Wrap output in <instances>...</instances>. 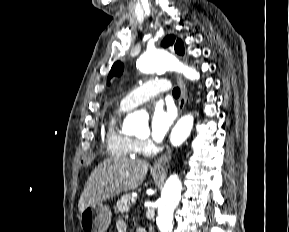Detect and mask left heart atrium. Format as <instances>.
Returning <instances> with one entry per match:
<instances>
[{"label":"left heart atrium","instance_id":"left-heart-atrium-1","mask_svg":"<svg viewBox=\"0 0 289 232\" xmlns=\"http://www.w3.org/2000/svg\"><path fill=\"white\" fill-rule=\"evenodd\" d=\"M175 119L174 111L165 109L161 104H156L150 117V135L156 141H162Z\"/></svg>","mask_w":289,"mask_h":232}]
</instances>
